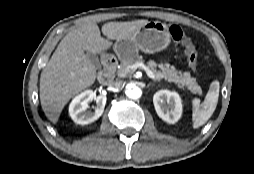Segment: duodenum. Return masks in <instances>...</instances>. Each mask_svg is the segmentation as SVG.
I'll use <instances>...</instances> for the list:
<instances>
[{
	"instance_id": "duodenum-1",
	"label": "duodenum",
	"mask_w": 254,
	"mask_h": 174,
	"mask_svg": "<svg viewBox=\"0 0 254 174\" xmlns=\"http://www.w3.org/2000/svg\"><path fill=\"white\" fill-rule=\"evenodd\" d=\"M117 68V60L112 56H107L103 59V68L99 72L97 79L102 85H109L114 80V75Z\"/></svg>"
}]
</instances>
